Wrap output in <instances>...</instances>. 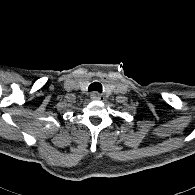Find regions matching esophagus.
I'll use <instances>...</instances> for the list:
<instances>
[{"mask_svg":"<svg viewBox=\"0 0 195 195\" xmlns=\"http://www.w3.org/2000/svg\"><path fill=\"white\" fill-rule=\"evenodd\" d=\"M90 98L92 100H101L102 96L98 92H92Z\"/></svg>","mask_w":195,"mask_h":195,"instance_id":"1","label":"esophagus"}]
</instances>
